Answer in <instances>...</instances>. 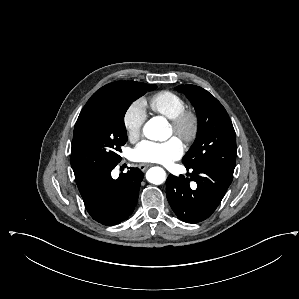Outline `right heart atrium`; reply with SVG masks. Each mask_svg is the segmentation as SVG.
Wrapping results in <instances>:
<instances>
[{
    "instance_id": "right-heart-atrium-1",
    "label": "right heart atrium",
    "mask_w": 299,
    "mask_h": 299,
    "mask_svg": "<svg viewBox=\"0 0 299 299\" xmlns=\"http://www.w3.org/2000/svg\"><path fill=\"white\" fill-rule=\"evenodd\" d=\"M146 118L145 105L141 100H135L129 104L123 114V126L127 137L135 140L141 133Z\"/></svg>"
}]
</instances>
